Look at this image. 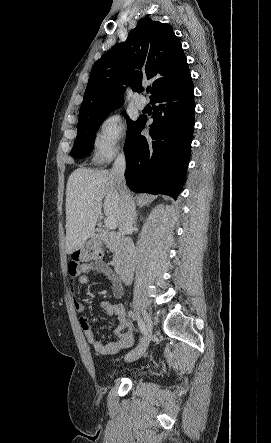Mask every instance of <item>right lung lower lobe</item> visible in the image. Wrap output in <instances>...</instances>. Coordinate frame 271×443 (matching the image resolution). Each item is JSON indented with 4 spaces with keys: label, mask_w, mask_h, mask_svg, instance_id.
<instances>
[{
    "label": "right lung lower lobe",
    "mask_w": 271,
    "mask_h": 443,
    "mask_svg": "<svg viewBox=\"0 0 271 443\" xmlns=\"http://www.w3.org/2000/svg\"><path fill=\"white\" fill-rule=\"evenodd\" d=\"M151 102L159 105L152 114L150 137L140 135L147 118L140 117L127 132L126 182L135 192L166 194L176 199L187 171L194 129L192 78L159 92Z\"/></svg>",
    "instance_id": "98d812e1"
}]
</instances>
